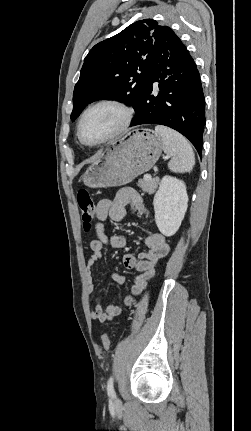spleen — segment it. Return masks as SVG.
<instances>
[{"instance_id":"1","label":"spleen","mask_w":251,"mask_h":431,"mask_svg":"<svg viewBox=\"0 0 251 431\" xmlns=\"http://www.w3.org/2000/svg\"><path fill=\"white\" fill-rule=\"evenodd\" d=\"M163 141V150L170 158L168 167L173 172H190L195 165V155L189 142L178 132L163 125L155 127Z\"/></svg>"}]
</instances>
